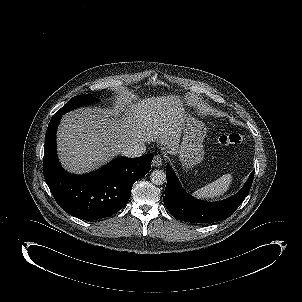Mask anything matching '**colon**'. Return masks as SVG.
Wrapping results in <instances>:
<instances>
[{
	"label": "colon",
	"instance_id": "1",
	"mask_svg": "<svg viewBox=\"0 0 302 302\" xmlns=\"http://www.w3.org/2000/svg\"><path fill=\"white\" fill-rule=\"evenodd\" d=\"M242 137L238 133H227L218 136L217 143L221 146H235L240 144Z\"/></svg>",
	"mask_w": 302,
	"mask_h": 302
}]
</instances>
